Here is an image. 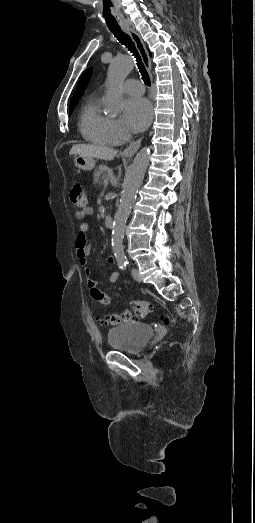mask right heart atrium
Returning <instances> with one entry per match:
<instances>
[{
    "instance_id": "d8ad5b80",
    "label": "right heart atrium",
    "mask_w": 255,
    "mask_h": 523,
    "mask_svg": "<svg viewBox=\"0 0 255 523\" xmlns=\"http://www.w3.org/2000/svg\"><path fill=\"white\" fill-rule=\"evenodd\" d=\"M114 123H115V127L119 133H121L123 135L127 134L126 129L120 120H118V119L114 120Z\"/></svg>"
}]
</instances>
